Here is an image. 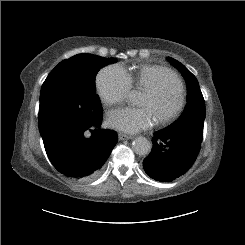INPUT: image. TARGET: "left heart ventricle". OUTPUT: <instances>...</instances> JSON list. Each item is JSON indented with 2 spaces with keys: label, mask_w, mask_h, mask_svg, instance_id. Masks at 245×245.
Here are the masks:
<instances>
[{
  "label": "left heart ventricle",
  "mask_w": 245,
  "mask_h": 245,
  "mask_svg": "<svg viewBox=\"0 0 245 245\" xmlns=\"http://www.w3.org/2000/svg\"><path fill=\"white\" fill-rule=\"evenodd\" d=\"M160 82L168 85L167 92L158 100L153 98L148 92H144L141 105L148 108L153 116L168 111L174 104L173 83L167 76L162 75Z\"/></svg>",
  "instance_id": "1"
}]
</instances>
